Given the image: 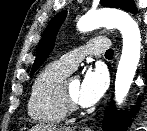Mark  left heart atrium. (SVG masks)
I'll return each mask as SVG.
<instances>
[{
    "instance_id": "1",
    "label": "left heart atrium",
    "mask_w": 147,
    "mask_h": 131,
    "mask_svg": "<svg viewBox=\"0 0 147 131\" xmlns=\"http://www.w3.org/2000/svg\"><path fill=\"white\" fill-rule=\"evenodd\" d=\"M108 78L102 69H88L79 87L78 102L83 107L95 105L104 95Z\"/></svg>"
}]
</instances>
